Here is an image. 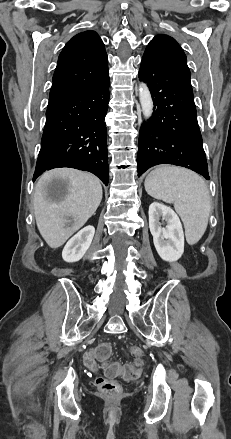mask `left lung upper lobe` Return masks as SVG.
Returning <instances> with one entry per match:
<instances>
[{"mask_svg": "<svg viewBox=\"0 0 231 439\" xmlns=\"http://www.w3.org/2000/svg\"><path fill=\"white\" fill-rule=\"evenodd\" d=\"M153 49L173 64L181 73L190 79V71L186 63V56L175 39L168 35H157L148 44L146 49Z\"/></svg>", "mask_w": 231, "mask_h": 439, "instance_id": "5c2ea615", "label": "left lung upper lobe"}]
</instances>
